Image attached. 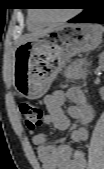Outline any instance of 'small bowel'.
Returning <instances> with one entry per match:
<instances>
[{"mask_svg":"<svg viewBox=\"0 0 104 169\" xmlns=\"http://www.w3.org/2000/svg\"><path fill=\"white\" fill-rule=\"evenodd\" d=\"M67 100L72 104L65 111L63 105ZM44 104L47 108V113L43 117L44 124L59 131H66L70 127V118L77 120L79 125L71 132V140L83 142L88 139L87 125L93 120L95 112L80 88L56 90L45 96ZM32 141L44 169H85L87 166L83 151H74L68 144L49 143L47 135L43 132L34 134Z\"/></svg>","mask_w":104,"mask_h":169,"instance_id":"obj_1","label":"small bowel"}]
</instances>
